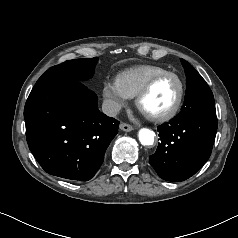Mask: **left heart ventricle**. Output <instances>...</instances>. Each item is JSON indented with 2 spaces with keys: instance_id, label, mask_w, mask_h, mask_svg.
Wrapping results in <instances>:
<instances>
[{
  "instance_id": "obj_1",
  "label": "left heart ventricle",
  "mask_w": 238,
  "mask_h": 238,
  "mask_svg": "<svg viewBox=\"0 0 238 238\" xmlns=\"http://www.w3.org/2000/svg\"><path fill=\"white\" fill-rule=\"evenodd\" d=\"M179 93V83L171 76L158 80L141 102V110L148 115H158L168 111Z\"/></svg>"
}]
</instances>
